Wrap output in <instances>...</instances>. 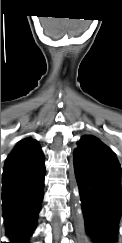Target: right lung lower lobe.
<instances>
[{"mask_svg": "<svg viewBox=\"0 0 122 243\" xmlns=\"http://www.w3.org/2000/svg\"><path fill=\"white\" fill-rule=\"evenodd\" d=\"M44 174L45 166H42L3 182V218L9 243H28L36 229Z\"/></svg>", "mask_w": 122, "mask_h": 243, "instance_id": "right-lung-lower-lobe-1", "label": "right lung lower lobe"}]
</instances>
